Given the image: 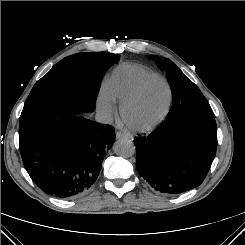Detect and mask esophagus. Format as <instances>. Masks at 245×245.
<instances>
[{
    "label": "esophagus",
    "mask_w": 245,
    "mask_h": 245,
    "mask_svg": "<svg viewBox=\"0 0 245 245\" xmlns=\"http://www.w3.org/2000/svg\"><path fill=\"white\" fill-rule=\"evenodd\" d=\"M116 138L120 139V138H130V135L126 132L123 131H117L116 132Z\"/></svg>",
    "instance_id": "esophagus-1"
}]
</instances>
